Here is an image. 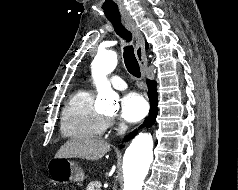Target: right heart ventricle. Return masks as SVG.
I'll use <instances>...</instances> for the list:
<instances>
[{
  "label": "right heart ventricle",
  "instance_id": "right-heart-ventricle-1",
  "mask_svg": "<svg viewBox=\"0 0 238 190\" xmlns=\"http://www.w3.org/2000/svg\"><path fill=\"white\" fill-rule=\"evenodd\" d=\"M109 125L108 119L93 106L92 92L77 90L68 100L61 115V132L73 138H98Z\"/></svg>",
  "mask_w": 238,
  "mask_h": 190
}]
</instances>
